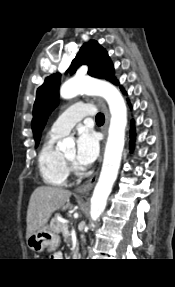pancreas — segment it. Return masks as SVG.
<instances>
[{
    "label": "pancreas",
    "instance_id": "cf45deb5",
    "mask_svg": "<svg viewBox=\"0 0 175 287\" xmlns=\"http://www.w3.org/2000/svg\"><path fill=\"white\" fill-rule=\"evenodd\" d=\"M64 223H62L57 217H54L51 219L50 221V229L54 232V233H62L63 236L65 237V233H64Z\"/></svg>",
    "mask_w": 175,
    "mask_h": 287
}]
</instances>
